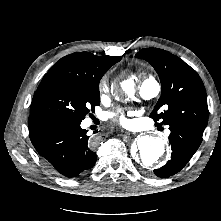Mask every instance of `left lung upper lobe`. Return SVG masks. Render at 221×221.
Segmentation results:
<instances>
[{
	"mask_svg": "<svg viewBox=\"0 0 221 221\" xmlns=\"http://www.w3.org/2000/svg\"><path fill=\"white\" fill-rule=\"evenodd\" d=\"M161 81V96L150 117L157 125L184 124L204 131L208 121L207 96L197 72L179 57L159 48L140 50Z\"/></svg>",
	"mask_w": 221,
	"mask_h": 221,
	"instance_id": "obj_1",
	"label": "left lung upper lobe"
}]
</instances>
